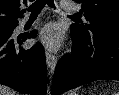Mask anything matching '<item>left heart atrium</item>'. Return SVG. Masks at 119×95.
Listing matches in <instances>:
<instances>
[{"mask_svg":"<svg viewBox=\"0 0 119 95\" xmlns=\"http://www.w3.org/2000/svg\"><path fill=\"white\" fill-rule=\"evenodd\" d=\"M39 41L50 49H57L63 40V29L57 23L47 24L38 35Z\"/></svg>","mask_w":119,"mask_h":95,"instance_id":"1","label":"left heart atrium"}]
</instances>
